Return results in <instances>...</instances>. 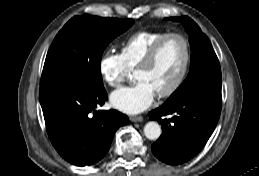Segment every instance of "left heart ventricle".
I'll return each mask as SVG.
<instances>
[{
	"mask_svg": "<svg viewBox=\"0 0 259 176\" xmlns=\"http://www.w3.org/2000/svg\"><path fill=\"white\" fill-rule=\"evenodd\" d=\"M184 61V46L180 39L169 38L162 45L156 60L147 68L135 71L137 81H145L156 93L168 88L178 76Z\"/></svg>",
	"mask_w": 259,
	"mask_h": 176,
	"instance_id": "1",
	"label": "left heart ventricle"
}]
</instances>
